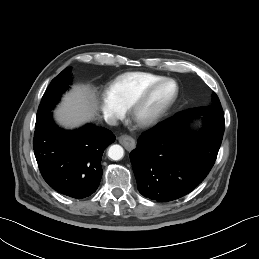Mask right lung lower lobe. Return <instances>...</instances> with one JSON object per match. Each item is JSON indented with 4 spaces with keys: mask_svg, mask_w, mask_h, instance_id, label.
<instances>
[{
    "mask_svg": "<svg viewBox=\"0 0 259 259\" xmlns=\"http://www.w3.org/2000/svg\"><path fill=\"white\" fill-rule=\"evenodd\" d=\"M115 139L110 130L93 125L64 131L50 114L35 127L33 149L47 184L60 194L82 199L98 188L103 151Z\"/></svg>",
    "mask_w": 259,
    "mask_h": 259,
    "instance_id": "98d812e1",
    "label": "right lung lower lobe"
}]
</instances>
